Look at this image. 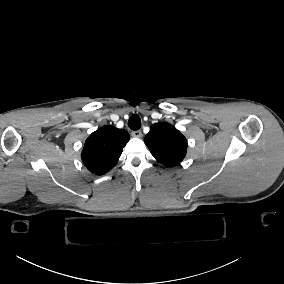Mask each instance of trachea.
<instances>
[{
	"instance_id": "trachea-1",
	"label": "trachea",
	"mask_w": 284,
	"mask_h": 284,
	"mask_svg": "<svg viewBox=\"0 0 284 284\" xmlns=\"http://www.w3.org/2000/svg\"><path fill=\"white\" fill-rule=\"evenodd\" d=\"M128 126L131 130H139L141 128V119L138 115H132L128 120Z\"/></svg>"
}]
</instances>
